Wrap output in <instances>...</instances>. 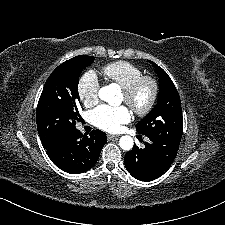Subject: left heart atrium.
Segmentation results:
<instances>
[{"label": "left heart atrium", "mask_w": 225, "mask_h": 225, "mask_svg": "<svg viewBox=\"0 0 225 225\" xmlns=\"http://www.w3.org/2000/svg\"><path fill=\"white\" fill-rule=\"evenodd\" d=\"M131 118V111L123 105L112 107L103 104L91 112V120L93 124L108 132H118L122 125L128 123Z\"/></svg>", "instance_id": "1"}]
</instances>
